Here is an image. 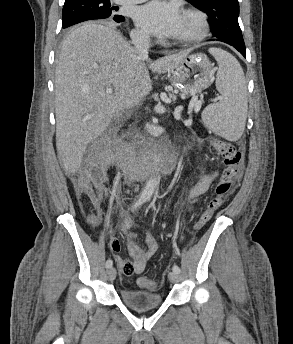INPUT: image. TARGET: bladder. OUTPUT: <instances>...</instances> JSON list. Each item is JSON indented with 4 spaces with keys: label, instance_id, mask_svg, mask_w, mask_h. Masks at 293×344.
I'll return each instance as SVG.
<instances>
[{
    "label": "bladder",
    "instance_id": "1",
    "mask_svg": "<svg viewBox=\"0 0 293 344\" xmlns=\"http://www.w3.org/2000/svg\"><path fill=\"white\" fill-rule=\"evenodd\" d=\"M120 295L126 305L140 311L157 308L163 303L162 294L157 292L122 288Z\"/></svg>",
    "mask_w": 293,
    "mask_h": 344
}]
</instances>
